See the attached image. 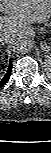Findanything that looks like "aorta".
<instances>
[{"label":"aorta","instance_id":"762f6f07","mask_svg":"<svg viewBox=\"0 0 51 153\" xmlns=\"http://www.w3.org/2000/svg\"><path fill=\"white\" fill-rule=\"evenodd\" d=\"M13 50L17 53H28L33 47V40L28 35H20L13 40Z\"/></svg>","mask_w":51,"mask_h":153}]
</instances>
